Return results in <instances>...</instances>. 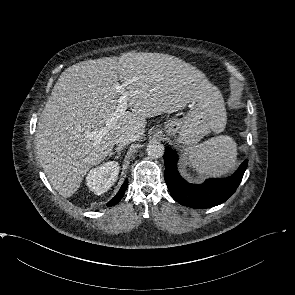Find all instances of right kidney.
<instances>
[{
  "label": "right kidney",
  "instance_id": "right-kidney-1",
  "mask_svg": "<svg viewBox=\"0 0 295 295\" xmlns=\"http://www.w3.org/2000/svg\"><path fill=\"white\" fill-rule=\"evenodd\" d=\"M119 168L118 162L108 161L91 169L86 177V185L95 194H104L117 180Z\"/></svg>",
  "mask_w": 295,
  "mask_h": 295
}]
</instances>
